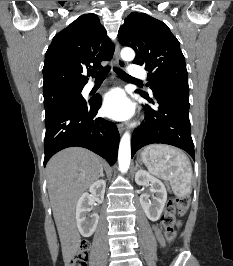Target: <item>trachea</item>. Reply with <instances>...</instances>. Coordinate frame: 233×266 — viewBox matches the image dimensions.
Here are the masks:
<instances>
[{"mask_svg": "<svg viewBox=\"0 0 233 266\" xmlns=\"http://www.w3.org/2000/svg\"><path fill=\"white\" fill-rule=\"evenodd\" d=\"M110 70L109 66L104 67L103 69L99 70V71H92V75L96 78V79H104L108 72ZM114 71L116 72V74L123 78V79H129V80H134V81H139L138 79H135L133 77H131L130 75H128L126 72H124L122 69L120 68H116L114 67Z\"/></svg>", "mask_w": 233, "mask_h": 266, "instance_id": "trachea-1", "label": "trachea"}]
</instances>
